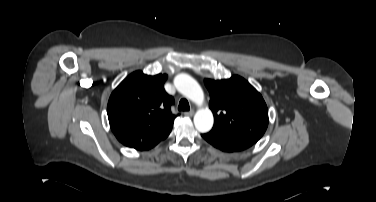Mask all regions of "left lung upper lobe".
<instances>
[{
    "label": "left lung upper lobe",
    "mask_w": 376,
    "mask_h": 202,
    "mask_svg": "<svg viewBox=\"0 0 376 202\" xmlns=\"http://www.w3.org/2000/svg\"><path fill=\"white\" fill-rule=\"evenodd\" d=\"M210 93L213 128L257 142L268 126V109L261 94L244 78L205 79Z\"/></svg>",
    "instance_id": "1"
}]
</instances>
